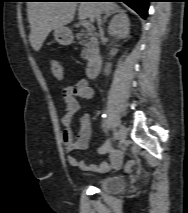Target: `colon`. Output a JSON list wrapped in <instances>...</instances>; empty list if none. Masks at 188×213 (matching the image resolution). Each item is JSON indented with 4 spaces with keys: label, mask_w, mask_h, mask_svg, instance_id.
<instances>
[{
    "label": "colon",
    "mask_w": 188,
    "mask_h": 213,
    "mask_svg": "<svg viewBox=\"0 0 188 213\" xmlns=\"http://www.w3.org/2000/svg\"><path fill=\"white\" fill-rule=\"evenodd\" d=\"M50 68L53 73V75L58 79L64 78V71L61 63L57 60H51L50 61ZM133 165V161H129L127 164V167L130 168Z\"/></svg>",
    "instance_id": "obj_1"
}]
</instances>
